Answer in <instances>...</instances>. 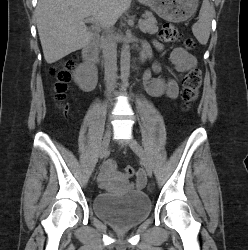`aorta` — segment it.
Listing matches in <instances>:
<instances>
[{
  "label": "aorta",
  "mask_w": 248,
  "mask_h": 250,
  "mask_svg": "<svg viewBox=\"0 0 248 250\" xmlns=\"http://www.w3.org/2000/svg\"><path fill=\"white\" fill-rule=\"evenodd\" d=\"M129 39L125 38L123 47L121 50L120 58V70H121V80L124 87L128 86V80L130 75V45Z\"/></svg>",
  "instance_id": "obj_1"
}]
</instances>
